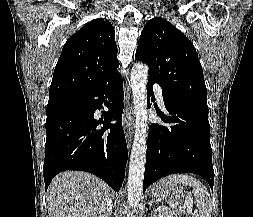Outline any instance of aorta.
I'll return each instance as SVG.
<instances>
[{
  "label": "aorta",
  "instance_id": "1",
  "mask_svg": "<svg viewBox=\"0 0 253 217\" xmlns=\"http://www.w3.org/2000/svg\"><path fill=\"white\" fill-rule=\"evenodd\" d=\"M148 66L136 63L131 70V88L135 110V133L130 156L127 183L129 208L136 210L142 197V188L146 163V138L148 128V106L146 83Z\"/></svg>",
  "mask_w": 253,
  "mask_h": 217
}]
</instances>
